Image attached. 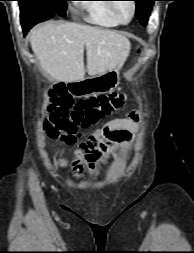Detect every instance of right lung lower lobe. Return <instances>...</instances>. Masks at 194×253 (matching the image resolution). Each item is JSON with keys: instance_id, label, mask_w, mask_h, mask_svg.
Masks as SVG:
<instances>
[{"instance_id": "obj_1", "label": "right lung lower lobe", "mask_w": 194, "mask_h": 253, "mask_svg": "<svg viewBox=\"0 0 194 253\" xmlns=\"http://www.w3.org/2000/svg\"><path fill=\"white\" fill-rule=\"evenodd\" d=\"M21 24H22L24 35L27 34V32L30 30V28L32 26H34L32 23H25V22H22V21H21Z\"/></svg>"}]
</instances>
